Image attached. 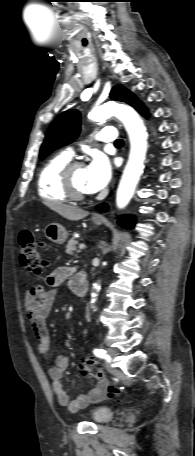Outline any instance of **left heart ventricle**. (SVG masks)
Masks as SVG:
<instances>
[{"label": "left heart ventricle", "instance_id": "obj_1", "mask_svg": "<svg viewBox=\"0 0 195 456\" xmlns=\"http://www.w3.org/2000/svg\"><path fill=\"white\" fill-rule=\"evenodd\" d=\"M73 183L79 191L88 193L86 188V170L84 167L78 168L74 171Z\"/></svg>", "mask_w": 195, "mask_h": 456}]
</instances>
